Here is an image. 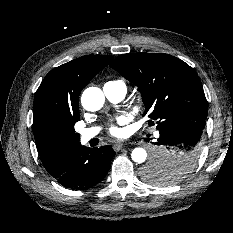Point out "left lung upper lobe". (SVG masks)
<instances>
[{
	"label": "left lung upper lobe",
	"instance_id": "5c2ea615",
	"mask_svg": "<svg viewBox=\"0 0 233 233\" xmlns=\"http://www.w3.org/2000/svg\"><path fill=\"white\" fill-rule=\"evenodd\" d=\"M110 66L138 87L146 107L144 115L156 120L157 129L177 122L205 123L207 101L202 84L184 61L169 54L142 52L120 55ZM196 163L181 159L171 167L152 160L143 168L142 177L172 185L186 177Z\"/></svg>",
	"mask_w": 233,
	"mask_h": 233
}]
</instances>
